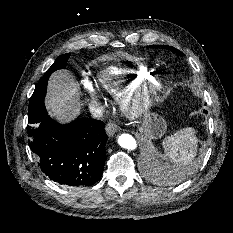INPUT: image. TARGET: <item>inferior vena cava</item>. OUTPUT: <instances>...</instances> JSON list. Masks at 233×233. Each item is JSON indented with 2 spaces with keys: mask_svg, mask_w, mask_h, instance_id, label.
I'll return each instance as SVG.
<instances>
[{
  "mask_svg": "<svg viewBox=\"0 0 233 233\" xmlns=\"http://www.w3.org/2000/svg\"><path fill=\"white\" fill-rule=\"evenodd\" d=\"M90 112L94 117H102L104 113L103 107L100 105V103L93 101L90 104Z\"/></svg>",
  "mask_w": 233,
  "mask_h": 233,
  "instance_id": "1",
  "label": "inferior vena cava"
}]
</instances>
